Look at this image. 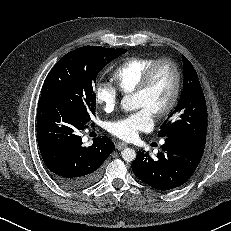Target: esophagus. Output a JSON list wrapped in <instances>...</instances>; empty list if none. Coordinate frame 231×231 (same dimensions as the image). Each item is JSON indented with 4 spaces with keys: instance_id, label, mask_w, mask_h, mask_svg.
Instances as JSON below:
<instances>
[{
    "instance_id": "34e87169",
    "label": "esophagus",
    "mask_w": 231,
    "mask_h": 231,
    "mask_svg": "<svg viewBox=\"0 0 231 231\" xmlns=\"http://www.w3.org/2000/svg\"><path fill=\"white\" fill-rule=\"evenodd\" d=\"M127 147H128V145L126 143H124V142H118L116 144V149H118V150H123V149H125Z\"/></svg>"
}]
</instances>
